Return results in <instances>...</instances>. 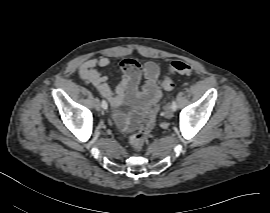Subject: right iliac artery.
<instances>
[{"label": "right iliac artery", "mask_w": 270, "mask_h": 213, "mask_svg": "<svg viewBox=\"0 0 270 213\" xmlns=\"http://www.w3.org/2000/svg\"><path fill=\"white\" fill-rule=\"evenodd\" d=\"M101 105H102V108L103 109H107L108 108V105H107V103H106L105 100H102Z\"/></svg>", "instance_id": "1"}]
</instances>
